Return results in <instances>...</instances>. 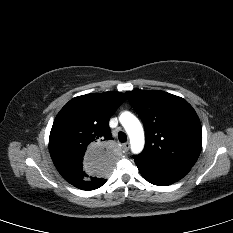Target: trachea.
Returning <instances> with one entry per match:
<instances>
[{
    "mask_svg": "<svg viewBox=\"0 0 233 233\" xmlns=\"http://www.w3.org/2000/svg\"><path fill=\"white\" fill-rule=\"evenodd\" d=\"M118 139L120 142H126L127 141V136L124 132H119L118 133Z\"/></svg>",
    "mask_w": 233,
    "mask_h": 233,
    "instance_id": "obj_1",
    "label": "trachea"
}]
</instances>
